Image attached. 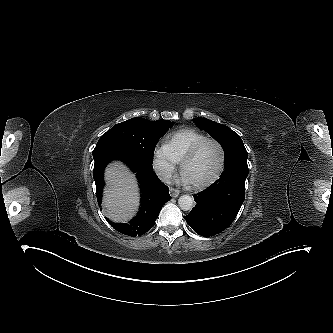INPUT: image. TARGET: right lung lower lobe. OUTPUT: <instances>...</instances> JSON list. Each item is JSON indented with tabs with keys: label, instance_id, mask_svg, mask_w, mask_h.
<instances>
[{
	"label": "right lung lower lobe",
	"instance_id": "1",
	"mask_svg": "<svg viewBox=\"0 0 333 333\" xmlns=\"http://www.w3.org/2000/svg\"><path fill=\"white\" fill-rule=\"evenodd\" d=\"M95 161L93 177L96 184L98 204H101L104 186L103 172L108 162L119 159L136 172L141 188V208L134 219L126 224H116L106 218L118 232L131 237L140 236L150 230L163 205L170 200L169 188L163 184L137 151L123 139L103 134L93 150Z\"/></svg>",
	"mask_w": 333,
	"mask_h": 333
}]
</instances>
